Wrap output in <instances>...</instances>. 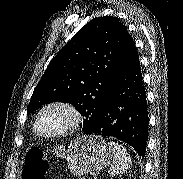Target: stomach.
Segmentation results:
<instances>
[{"mask_svg": "<svg viewBox=\"0 0 183 179\" xmlns=\"http://www.w3.org/2000/svg\"><path fill=\"white\" fill-rule=\"evenodd\" d=\"M52 152L65 159L70 172L78 176L102 170L112 158L105 140L98 135L78 137L67 149L57 146Z\"/></svg>", "mask_w": 183, "mask_h": 179, "instance_id": "0dacf381", "label": "stomach"}]
</instances>
